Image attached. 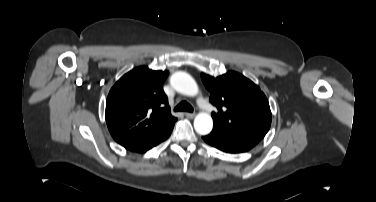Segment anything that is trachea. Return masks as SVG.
<instances>
[{
	"instance_id": "1",
	"label": "trachea",
	"mask_w": 376,
	"mask_h": 202,
	"mask_svg": "<svg viewBox=\"0 0 376 202\" xmlns=\"http://www.w3.org/2000/svg\"><path fill=\"white\" fill-rule=\"evenodd\" d=\"M175 111H186V112H193V108L192 106L186 102V101H182L180 102L175 108H174Z\"/></svg>"
}]
</instances>
